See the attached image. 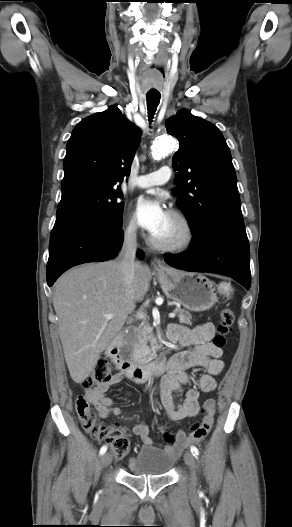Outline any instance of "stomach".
I'll return each mask as SVG.
<instances>
[{"mask_svg":"<svg viewBox=\"0 0 292 527\" xmlns=\"http://www.w3.org/2000/svg\"><path fill=\"white\" fill-rule=\"evenodd\" d=\"M158 277L166 296L190 311H206L218 300L214 283L202 274L165 268Z\"/></svg>","mask_w":292,"mask_h":527,"instance_id":"stomach-1","label":"stomach"}]
</instances>
